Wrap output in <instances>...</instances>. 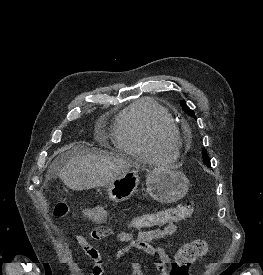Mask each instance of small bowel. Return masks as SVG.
<instances>
[{
    "label": "small bowel",
    "instance_id": "1",
    "mask_svg": "<svg viewBox=\"0 0 263 275\" xmlns=\"http://www.w3.org/2000/svg\"><path fill=\"white\" fill-rule=\"evenodd\" d=\"M177 228L176 223H169L148 230H140L134 237L126 232H115L109 227L99 226L91 231L90 238L93 240H101L108 236H115L125 244L118 247L113 252L114 260H118L127 253L135 251L154 258V266L159 275H171V263L173 262V257L155 243L175 234ZM75 242L83 253L93 261L91 275H104V261L100 252L82 235H77L75 237ZM131 268L132 275H145L142 270V265L139 262L133 263ZM189 273L190 270L186 274L190 275Z\"/></svg>",
    "mask_w": 263,
    "mask_h": 275
}]
</instances>
